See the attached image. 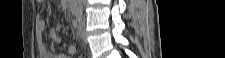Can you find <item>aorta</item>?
<instances>
[{
    "mask_svg": "<svg viewBox=\"0 0 225 58\" xmlns=\"http://www.w3.org/2000/svg\"><path fill=\"white\" fill-rule=\"evenodd\" d=\"M82 0H78V3L75 5L76 13L81 16L82 14V5H81Z\"/></svg>",
    "mask_w": 225,
    "mask_h": 58,
    "instance_id": "762f6f07",
    "label": "aorta"
}]
</instances>
